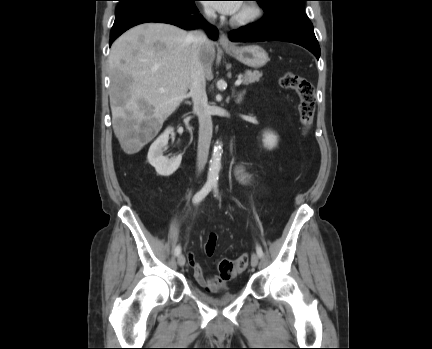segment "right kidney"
<instances>
[{
    "instance_id": "1",
    "label": "right kidney",
    "mask_w": 432,
    "mask_h": 349,
    "mask_svg": "<svg viewBox=\"0 0 432 349\" xmlns=\"http://www.w3.org/2000/svg\"><path fill=\"white\" fill-rule=\"evenodd\" d=\"M173 128H167L150 146L148 151V162L155 168L157 174L161 176L172 175L180 166L182 156L178 155L171 159L163 156V149L169 140V134Z\"/></svg>"
}]
</instances>
